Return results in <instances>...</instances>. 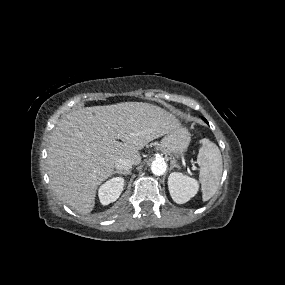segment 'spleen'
<instances>
[{
	"mask_svg": "<svg viewBox=\"0 0 285 285\" xmlns=\"http://www.w3.org/2000/svg\"><path fill=\"white\" fill-rule=\"evenodd\" d=\"M197 163L200 166L202 199L207 201L216 193L222 176L223 163L218 146L204 139L199 149Z\"/></svg>",
	"mask_w": 285,
	"mask_h": 285,
	"instance_id": "3e777b00",
	"label": "spleen"
}]
</instances>
